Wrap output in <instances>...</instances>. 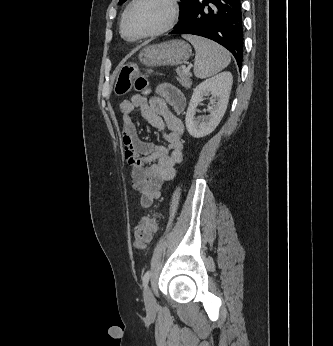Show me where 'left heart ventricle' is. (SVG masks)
I'll return each mask as SVG.
<instances>
[{
	"label": "left heart ventricle",
	"instance_id": "1",
	"mask_svg": "<svg viewBox=\"0 0 333 346\" xmlns=\"http://www.w3.org/2000/svg\"><path fill=\"white\" fill-rule=\"evenodd\" d=\"M170 13L166 0H140L126 19V33L136 36L156 31L168 22Z\"/></svg>",
	"mask_w": 333,
	"mask_h": 346
}]
</instances>
